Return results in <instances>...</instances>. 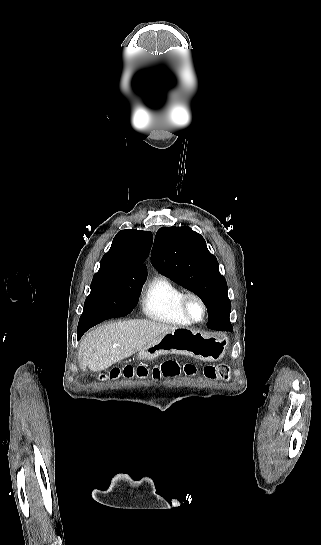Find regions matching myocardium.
<instances>
[{
	"instance_id": "1",
	"label": "myocardium",
	"mask_w": 321,
	"mask_h": 545,
	"mask_svg": "<svg viewBox=\"0 0 321 545\" xmlns=\"http://www.w3.org/2000/svg\"><path fill=\"white\" fill-rule=\"evenodd\" d=\"M196 300L201 308H202V314L199 318H195L191 311H190V301ZM179 309L183 317L190 323V324H199L204 321L206 315H207V306L202 298L198 293L193 291L185 292L182 297L180 298L179 302Z\"/></svg>"
}]
</instances>
